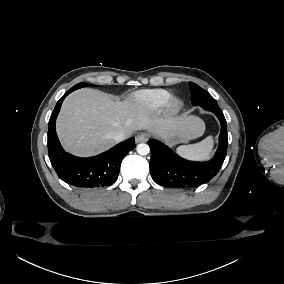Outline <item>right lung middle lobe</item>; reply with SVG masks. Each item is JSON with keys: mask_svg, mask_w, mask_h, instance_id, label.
<instances>
[{"mask_svg": "<svg viewBox=\"0 0 284 284\" xmlns=\"http://www.w3.org/2000/svg\"><path fill=\"white\" fill-rule=\"evenodd\" d=\"M84 86H87L86 83H80V84H77L76 86L73 87V90H76V89H79V88H82Z\"/></svg>", "mask_w": 284, "mask_h": 284, "instance_id": "right-lung-middle-lobe-1", "label": "right lung middle lobe"}]
</instances>
